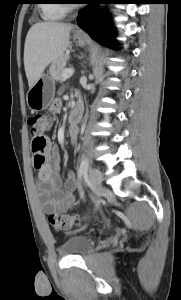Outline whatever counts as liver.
Listing matches in <instances>:
<instances>
[{"label": "liver", "instance_id": "obj_1", "mask_svg": "<svg viewBox=\"0 0 181 300\" xmlns=\"http://www.w3.org/2000/svg\"><path fill=\"white\" fill-rule=\"evenodd\" d=\"M73 26L65 23L39 22L27 33L24 67L29 88L42 77L47 66L64 55Z\"/></svg>", "mask_w": 181, "mask_h": 300}]
</instances>
